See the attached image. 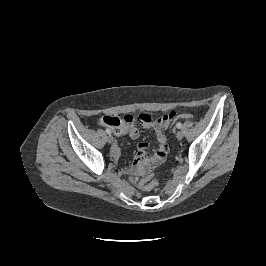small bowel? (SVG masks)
Returning <instances> with one entry per match:
<instances>
[{
	"instance_id": "small-bowel-1",
	"label": "small bowel",
	"mask_w": 266,
	"mask_h": 266,
	"mask_svg": "<svg viewBox=\"0 0 266 266\" xmlns=\"http://www.w3.org/2000/svg\"><path fill=\"white\" fill-rule=\"evenodd\" d=\"M177 116L178 115L175 111H170L157 118L141 114L138 116L125 115L122 118L105 116L101 119V124L110 127L115 134H127L132 139H137L139 136V131L135 126L136 121H139L142 125L155 130L158 146L153 155L149 156L147 154V150L149 148L148 143L140 142L137 145L135 159L127 169L132 175L131 179L133 181H137L143 173L150 171L165 160L169 150L165 129L177 118ZM112 152L114 157L117 158L120 152L119 147L115 145Z\"/></svg>"
}]
</instances>
